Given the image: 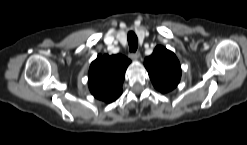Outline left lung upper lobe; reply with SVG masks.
<instances>
[{
  "mask_svg": "<svg viewBox=\"0 0 247 145\" xmlns=\"http://www.w3.org/2000/svg\"><path fill=\"white\" fill-rule=\"evenodd\" d=\"M144 65L156 89L162 93L173 90L181 77L180 63L173 52L163 46H157L145 59Z\"/></svg>",
  "mask_w": 247,
  "mask_h": 145,
  "instance_id": "5c2ea615",
  "label": "left lung upper lobe"
}]
</instances>
